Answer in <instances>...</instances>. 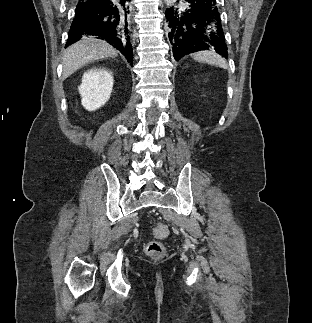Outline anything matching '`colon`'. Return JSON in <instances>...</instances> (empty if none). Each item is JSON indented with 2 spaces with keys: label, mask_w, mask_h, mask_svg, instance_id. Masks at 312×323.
<instances>
[{
  "label": "colon",
  "mask_w": 312,
  "mask_h": 323,
  "mask_svg": "<svg viewBox=\"0 0 312 323\" xmlns=\"http://www.w3.org/2000/svg\"><path fill=\"white\" fill-rule=\"evenodd\" d=\"M167 233L166 226L159 224L153 229L154 236H159ZM145 252L155 258H161L164 254V248L158 241H149L145 246Z\"/></svg>",
  "instance_id": "colon-1"
}]
</instances>
